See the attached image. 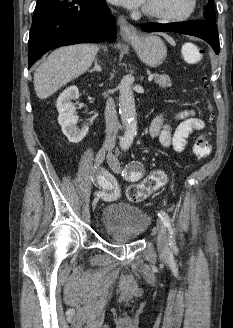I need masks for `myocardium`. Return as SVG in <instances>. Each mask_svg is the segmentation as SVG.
Segmentation results:
<instances>
[{"label": "myocardium", "mask_w": 233, "mask_h": 328, "mask_svg": "<svg viewBox=\"0 0 233 328\" xmlns=\"http://www.w3.org/2000/svg\"><path fill=\"white\" fill-rule=\"evenodd\" d=\"M198 0H189L188 8L180 15H168L160 12L150 11L146 8L142 9V13L151 19L165 23H178L189 20L197 10Z\"/></svg>", "instance_id": "myocardium-1"}]
</instances>
